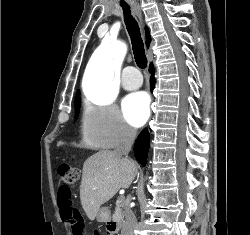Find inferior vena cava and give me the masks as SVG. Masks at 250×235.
<instances>
[{
    "label": "inferior vena cava",
    "instance_id": "602c4592",
    "mask_svg": "<svg viewBox=\"0 0 250 235\" xmlns=\"http://www.w3.org/2000/svg\"><path fill=\"white\" fill-rule=\"evenodd\" d=\"M136 138V131L129 126L122 124L119 143L115 149V153L128 160V153L131 150L133 142ZM136 216L130 208L125 210V221L121 230V235H134L136 226Z\"/></svg>",
    "mask_w": 250,
    "mask_h": 235
}]
</instances>
